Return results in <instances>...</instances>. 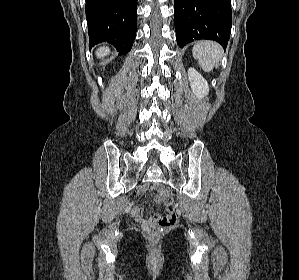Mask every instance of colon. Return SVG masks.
Segmentation results:
<instances>
[{
	"label": "colon",
	"mask_w": 299,
	"mask_h": 280,
	"mask_svg": "<svg viewBox=\"0 0 299 280\" xmlns=\"http://www.w3.org/2000/svg\"><path fill=\"white\" fill-rule=\"evenodd\" d=\"M155 199L165 206V213L164 215H155L147 226V232L153 238L158 237L163 229L176 224L178 220L173 206V199L162 186L159 187V194Z\"/></svg>",
	"instance_id": "colon-1"
}]
</instances>
